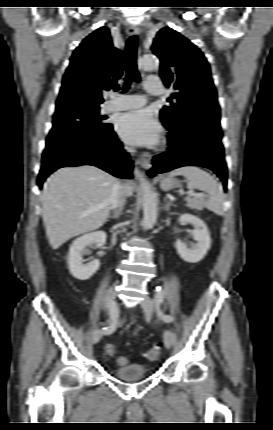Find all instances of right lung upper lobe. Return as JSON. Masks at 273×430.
Returning a JSON list of instances; mask_svg holds the SVG:
<instances>
[{"mask_svg": "<svg viewBox=\"0 0 273 430\" xmlns=\"http://www.w3.org/2000/svg\"><path fill=\"white\" fill-rule=\"evenodd\" d=\"M122 64L123 53L113 46L109 29L100 27L73 52L56 106L72 100L101 104L105 91L118 89Z\"/></svg>", "mask_w": 273, "mask_h": 430, "instance_id": "obj_1", "label": "right lung upper lobe"}]
</instances>
